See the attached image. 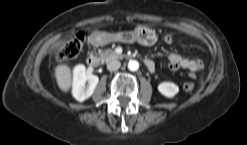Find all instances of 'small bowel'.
<instances>
[{
    "label": "small bowel",
    "mask_w": 247,
    "mask_h": 145,
    "mask_svg": "<svg viewBox=\"0 0 247 145\" xmlns=\"http://www.w3.org/2000/svg\"><path fill=\"white\" fill-rule=\"evenodd\" d=\"M204 63L200 58H186L180 54L173 53L169 57V68L171 70L184 69L189 71L191 77H195L196 74L202 70Z\"/></svg>",
    "instance_id": "1"
}]
</instances>
